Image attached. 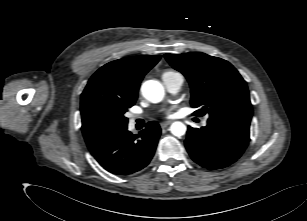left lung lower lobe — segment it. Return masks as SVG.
<instances>
[{
    "instance_id": "left-lung-lower-lobe-1",
    "label": "left lung lower lobe",
    "mask_w": 307,
    "mask_h": 221,
    "mask_svg": "<svg viewBox=\"0 0 307 221\" xmlns=\"http://www.w3.org/2000/svg\"><path fill=\"white\" fill-rule=\"evenodd\" d=\"M250 121L229 115L210 117L207 126L188 128L185 147L191 158L204 168L228 167L248 146Z\"/></svg>"
}]
</instances>
